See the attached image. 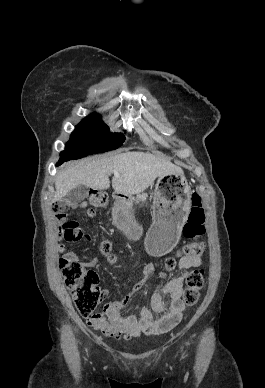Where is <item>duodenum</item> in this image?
<instances>
[{
	"label": "duodenum",
	"mask_w": 265,
	"mask_h": 388,
	"mask_svg": "<svg viewBox=\"0 0 265 388\" xmlns=\"http://www.w3.org/2000/svg\"><path fill=\"white\" fill-rule=\"evenodd\" d=\"M116 198H117L118 200L122 201V200L125 199V196H124L123 194H118V195L116 196Z\"/></svg>",
	"instance_id": "410a0bca"
}]
</instances>
